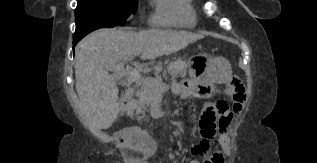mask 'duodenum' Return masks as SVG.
Instances as JSON below:
<instances>
[{
    "label": "duodenum",
    "instance_id": "1",
    "mask_svg": "<svg viewBox=\"0 0 317 163\" xmlns=\"http://www.w3.org/2000/svg\"><path fill=\"white\" fill-rule=\"evenodd\" d=\"M133 99V94L131 92H126L121 98V109L123 112H126L130 107ZM124 146L128 145V141H124Z\"/></svg>",
    "mask_w": 317,
    "mask_h": 163
}]
</instances>
